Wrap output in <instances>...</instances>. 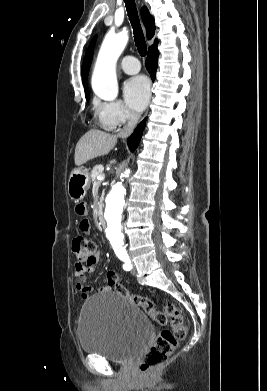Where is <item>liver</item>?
<instances>
[{
  "instance_id": "obj_1",
  "label": "liver",
  "mask_w": 267,
  "mask_h": 391,
  "mask_svg": "<svg viewBox=\"0 0 267 391\" xmlns=\"http://www.w3.org/2000/svg\"><path fill=\"white\" fill-rule=\"evenodd\" d=\"M117 136L91 129L78 141L75 148V164L83 165L89 160L107 155L116 145Z\"/></svg>"
}]
</instances>
